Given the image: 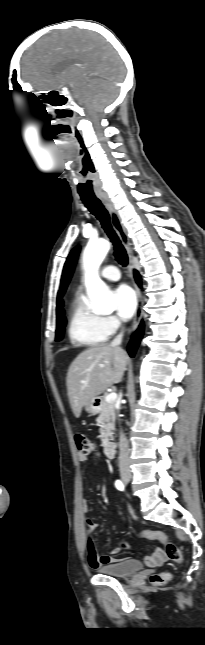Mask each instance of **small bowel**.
Segmentation results:
<instances>
[{"instance_id": "1", "label": "small bowel", "mask_w": 205, "mask_h": 645, "mask_svg": "<svg viewBox=\"0 0 205 645\" xmlns=\"http://www.w3.org/2000/svg\"><path fill=\"white\" fill-rule=\"evenodd\" d=\"M94 457H96V458L99 457V453L95 452ZM78 460L80 462H85V461H87V456L79 455ZM88 507H89L88 502H87V500L84 499V501H83V510L85 512L88 511ZM128 511H129L130 515L133 518H135L134 510H133L132 506L129 503H128ZM101 513L103 515H109V516L114 517V518H119V519H122V520L125 519L123 514L117 509H105ZM87 528H88V532L90 533L91 531H93L96 528V523L91 521V520H88ZM86 549H87L88 562H89V565L92 568H99V567H101L103 565L111 564V563H115V562L120 561V559L117 558V555L120 552L119 548H114L108 554H99L97 549H96V547H95V545H94L93 540L90 537V535H88L87 539H86ZM166 560H167V555L164 552V550L162 548H157L151 555L146 556L144 558V563L147 566L156 567V566L162 565L164 562H166Z\"/></svg>"}]
</instances>
